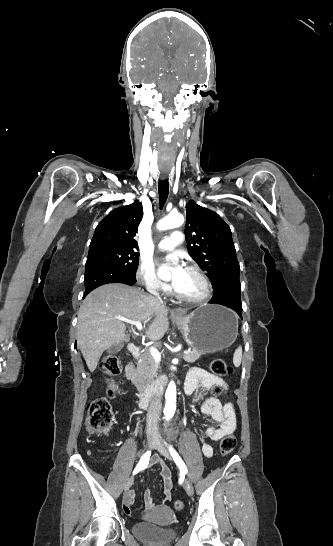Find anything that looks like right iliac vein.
Returning a JSON list of instances; mask_svg holds the SVG:
<instances>
[{"label": "right iliac vein", "mask_w": 333, "mask_h": 546, "mask_svg": "<svg viewBox=\"0 0 333 546\" xmlns=\"http://www.w3.org/2000/svg\"><path fill=\"white\" fill-rule=\"evenodd\" d=\"M155 442H156V436L154 434L149 435L147 439L148 447L152 448L155 445ZM132 484H133V478H130L125 484V487H124L125 491H128L130 487L132 486Z\"/></svg>", "instance_id": "1"}]
</instances>
